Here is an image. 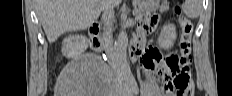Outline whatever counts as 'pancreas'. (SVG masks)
<instances>
[{
	"label": "pancreas",
	"instance_id": "cf45deb5",
	"mask_svg": "<svg viewBox=\"0 0 232 96\" xmlns=\"http://www.w3.org/2000/svg\"><path fill=\"white\" fill-rule=\"evenodd\" d=\"M158 9L160 10V12H164L169 9V6L167 4L159 5L158 2H155V3L148 2V3H144L143 5L139 6V8L134 11V13L137 17L139 16L142 17L145 15H149L151 12L156 11Z\"/></svg>",
	"mask_w": 232,
	"mask_h": 96
}]
</instances>
